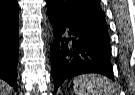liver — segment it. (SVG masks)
I'll return each mask as SVG.
<instances>
[{"instance_id": "1", "label": "liver", "mask_w": 135, "mask_h": 95, "mask_svg": "<svg viewBox=\"0 0 135 95\" xmlns=\"http://www.w3.org/2000/svg\"><path fill=\"white\" fill-rule=\"evenodd\" d=\"M0 95H12V88L2 80H0Z\"/></svg>"}]
</instances>
